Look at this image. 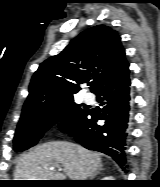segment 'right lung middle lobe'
<instances>
[{
    "label": "right lung middle lobe",
    "instance_id": "1",
    "mask_svg": "<svg viewBox=\"0 0 160 187\" xmlns=\"http://www.w3.org/2000/svg\"><path fill=\"white\" fill-rule=\"evenodd\" d=\"M88 112L86 107L72 99L40 111L22 113L14 137V150L19 152L32 147L59 120L63 132L73 131Z\"/></svg>",
    "mask_w": 160,
    "mask_h": 187
}]
</instances>
